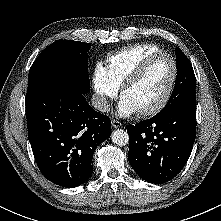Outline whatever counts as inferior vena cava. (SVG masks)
Here are the masks:
<instances>
[{
  "label": "inferior vena cava",
  "instance_id": "inferior-vena-cava-1",
  "mask_svg": "<svg viewBox=\"0 0 221 221\" xmlns=\"http://www.w3.org/2000/svg\"><path fill=\"white\" fill-rule=\"evenodd\" d=\"M91 103L95 109L101 112H107L108 110H110L107 99L103 95H100V94L93 95L91 99Z\"/></svg>",
  "mask_w": 221,
  "mask_h": 221
}]
</instances>
